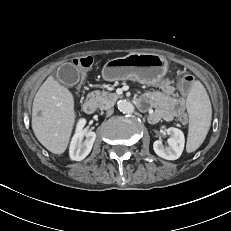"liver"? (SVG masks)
<instances>
[{
	"instance_id": "6515ba94",
	"label": "liver",
	"mask_w": 231,
	"mask_h": 231,
	"mask_svg": "<svg viewBox=\"0 0 231 231\" xmlns=\"http://www.w3.org/2000/svg\"><path fill=\"white\" fill-rule=\"evenodd\" d=\"M76 120L72 93L49 76L37 91L32 106V129L50 152L67 149Z\"/></svg>"
}]
</instances>
